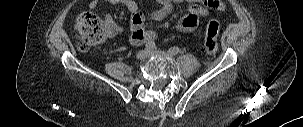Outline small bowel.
I'll use <instances>...</instances> for the list:
<instances>
[{"mask_svg":"<svg viewBox=\"0 0 303 127\" xmlns=\"http://www.w3.org/2000/svg\"><path fill=\"white\" fill-rule=\"evenodd\" d=\"M110 4H120L129 10L131 13L130 21V42L134 45L154 42L157 34L154 31L145 30V15L139 9L136 0H104ZM157 7L152 9L148 17L152 21H161L166 18L173 9L174 2H189L194 3L187 10V13L180 19L177 26L181 31L190 32L196 29L199 19L207 16L211 10L220 11L224 9V4L221 0H155ZM99 0H91L88 3V8L93 10L98 6ZM106 22L110 28V34L116 36L121 32V28L114 18L110 15L105 16Z\"/></svg>","mask_w":303,"mask_h":127,"instance_id":"1","label":"small bowel"}]
</instances>
